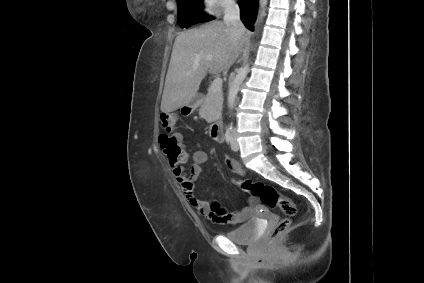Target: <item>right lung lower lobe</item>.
Here are the masks:
<instances>
[{"mask_svg":"<svg viewBox=\"0 0 424 283\" xmlns=\"http://www.w3.org/2000/svg\"><path fill=\"white\" fill-rule=\"evenodd\" d=\"M258 0H239L241 20L247 29L253 31Z\"/></svg>","mask_w":424,"mask_h":283,"instance_id":"right-lung-lower-lobe-1","label":"right lung lower lobe"}]
</instances>
